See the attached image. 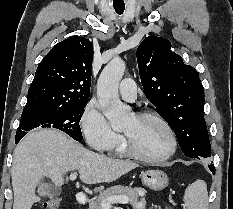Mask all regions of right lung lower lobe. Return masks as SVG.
I'll list each match as a JSON object with an SVG mask.
<instances>
[{
    "label": "right lung lower lobe",
    "instance_id": "right-lung-lower-lobe-1",
    "mask_svg": "<svg viewBox=\"0 0 233 209\" xmlns=\"http://www.w3.org/2000/svg\"><path fill=\"white\" fill-rule=\"evenodd\" d=\"M21 138H22V136H20V137H16V139H15V143L17 144V143L21 140Z\"/></svg>",
    "mask_w": 233,
    "mask_h": 209
}]
</instances>
